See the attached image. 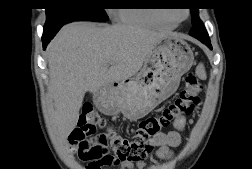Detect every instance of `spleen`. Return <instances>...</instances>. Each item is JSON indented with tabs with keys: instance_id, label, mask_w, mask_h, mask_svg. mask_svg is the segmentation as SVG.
<instances>
[{
	"instance_id": "spleen-1",
	"label": "spleen",
	"mask_w": 252,
	"mask_h": 169,
	"mask_svg": "<svg viewBox=\"0 0 252 169\" xmlns=\"http://www.w3.org/2000/svg\"><path fill=\"white\" fill-rule=\"evenodd\" d=\"M196 73L200 79H206V73L203 64H199L196 68Z\"/></svg>"
}]
</instances>
